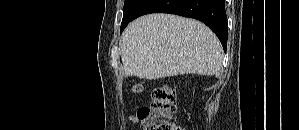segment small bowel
I'll return each instance as SVG.
<instances>
[{
  "mask_svg": "<svg viewBox=\"0 0 299 130\" xmlns=\"http://www.w3.org/2000/svg\"><path fill=\"white\" fill-rule=\"evenodd\" d=\"M129 120L132 122V123H137L138 122V119L134 116H130L129 117Z\"/></svg>",
  "mask_w": 299,
  "mask_h": 130,
  "instance_id": "obj_1",
  "label": "small bowel"
}]
</instances>
